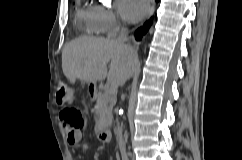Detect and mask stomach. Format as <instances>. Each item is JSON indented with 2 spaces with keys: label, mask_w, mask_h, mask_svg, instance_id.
Wrapping results in <instances>:
<instances>
[{
  "label": "stomach",
  "mask_w": 242,
  "mask_h": 160,
  "mask_svg": "<svg viewBox=\"0 0 242 160\" xmlns=\"http://www.w3.org/2000/svg\"><path fill=\"white\" fill-rule=\"evenodd\" d=\"M89 87L94 90V92L96 91V84L95 83H89Z\"/></svg>",
  "instance_id": "1"
}]
</instances>
